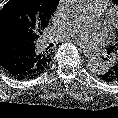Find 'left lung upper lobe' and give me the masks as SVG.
<instances>
[{"label":"left lung upper lobe","mask_w":118,"mask_h":118,"mask_svg":"<svg viewBox=\"0 0 118 118\" xmlns=\"http://www.w3.org/2000/svg\"><path fill=\"white\" fill-rule=\"evenodd\" d=\"M116 5H118V0H112ZM108 53H114L116 55H118V44L115 46H111L107 49Z\"/></svg>","instance_id":"left-lung-upper-lobe-1"}]
</instances>
